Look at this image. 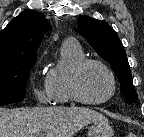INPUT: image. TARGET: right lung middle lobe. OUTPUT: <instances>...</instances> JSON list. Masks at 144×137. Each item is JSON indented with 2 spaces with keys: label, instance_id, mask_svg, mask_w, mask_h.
<instances>
[{
  "label": "right lung middle lobe",
  "instance_id": "right-lung-middle-lobe-1",
  "mask_svg": "<svg viewBox=\"0 0 144 137\" xmlns=\"http://www.w3.org/2000/svg\"><path fill=\"white\" fill-rule=\"evenodd\" d=\"M34 62L35 59L0 63V106L24 99L25 85Z\"/></svg>",
  "mask_w": 144,
  "mask_h": 137
}]
</instances>
